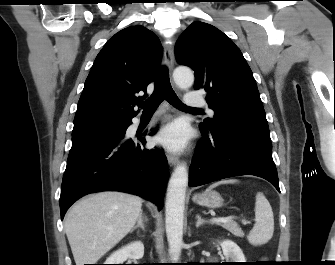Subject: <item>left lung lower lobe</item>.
<instances>
[{"label":"left lung lower lobe","mask_w":335,"mask_h":265,"mask_svg":"<svg viewBox=\"0 0 335 265\" xmlns=\"http://www.w3.org/2000/svg\"><path fill=\"white\" fill-rule=\"evenodd\" d=\"M189 169V186L216 180L255 175L272 183L280 192L271 140L232 129L202 131Z\"/></svg>","instance_id":"1"}]
</instances>
